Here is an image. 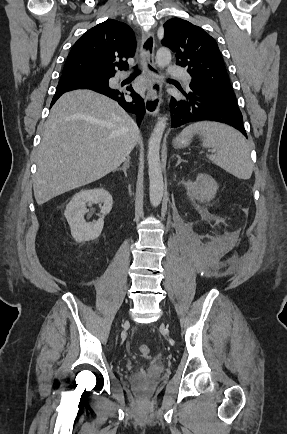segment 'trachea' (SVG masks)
<instances>
[{"label":"trachea","instance_id":"trachea-1","mask_svg":"<svg viewBox=\"0 0 287 434\" xmlns=\"http://www.w3.org/2000/svg\"><path fill=\"white\" fill-rule=\"evenodd\" d=\"M149 69L152 70V71H154V69L151 66H149ZM139 73H140V70L136 66L135 69H134V71H133V73L130 75V78H132V79L136 78L137 75H139Z\"/></svg>","mask_w":287,"mask_h":434}]
</instances>
